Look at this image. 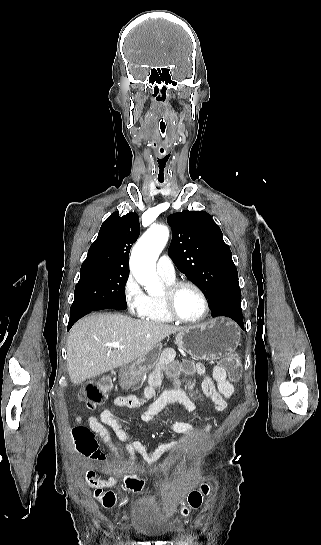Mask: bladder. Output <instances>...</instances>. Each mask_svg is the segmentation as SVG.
<instances>
[{"label":"bladder","instance_id":"31cf9c89","mask_svg":"<svg viewBox=\"0 0 321 545\" xmlns=\"http://www.w3.org/2000/svg\"><path fill=\"white\" fill-rule=\"evenodd\" d=\"M126 524L139 537L152 540L164 537L171 530L162 503L152 494L141 495L131 502Z\"/></svg>","mask_w":321,"mask_h":545}]
</instances>
